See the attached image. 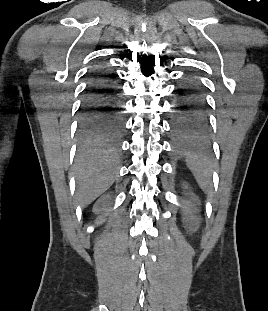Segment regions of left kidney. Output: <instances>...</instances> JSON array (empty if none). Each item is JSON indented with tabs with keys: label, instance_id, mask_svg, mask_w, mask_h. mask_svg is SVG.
<instances>
[{
	"label": "left kidney",
	"instance_id": "obj_1",
	"mask_svg": "<svg viewBox=\"0 0 268 311\" xmlns=\"http://www.w3.org/2000/svg\"><path fill=\"white\" fill-rule=\"evenodd\" d=\"M187 203H188L192 208H195L196 199L188 200Z\"/></svg>",
	"mask_w": 268,
	"mask_h": 311
}]
</instances>
